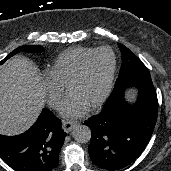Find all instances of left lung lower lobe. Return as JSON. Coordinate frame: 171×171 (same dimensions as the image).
Wrapping results in <instances>:
<instances>
[{"instance_id":"left-lung-lower-lobe-1","label":"left lung lower lobe","mask_w":171,"mask_h":171,"mask_svg":"<svg viewBox=\"0 0 171 171\" xmlns=\"http://www.w3.org/2000/svg\"><path fill=\"white\" fill-rule=\"evenodd\" d=\"M139 107V112H137ZM158 111L155 89H139L137 105L120 95L84 122L91 128V160L106 170L129 165L144 151L153 133Z\"/></svg>"}]
</instances>
